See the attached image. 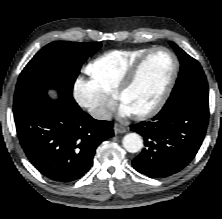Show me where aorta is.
<instances>
[{"label": "aorta", "instance_id": "obj_1", "mask_svg": "<svg viewBox=\"0 0 222 219\" xmlns=\"http://www.w3.org/2000/svg\"><path fill=\"white\" fill-rule=\"evenodd\" d=\"M123 147L130 153L139 152L143 147V140L137 133H127L122 140Z\"/></svg>", "mask_w": 222, "mask_h": 219}]
</instances>
